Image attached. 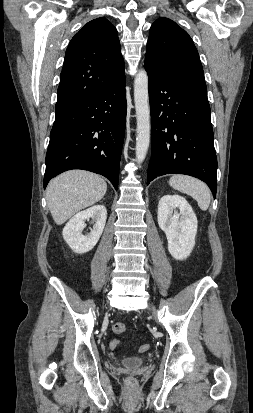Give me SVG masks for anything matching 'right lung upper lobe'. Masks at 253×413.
Here are the masks:
<instances>
[{"label": "right lung upper lobe", "mask_w": 253, "mask_h": 413, "mask_svg": "<svg viewBox=\"0 0 253 413\" xmlns=\"http://www.w3.org/2000/svg\"><path fill=\"white\" fill-rule=\"evenodd\" d=\"M124 74L116 28L102 17L88 22L66 50L55 111L103 91Z\"/></svg>", "instance_id": "obj_1"}]
</instances>
